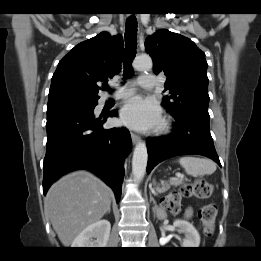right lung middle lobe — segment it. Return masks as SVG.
<instances>
[{
	"label": "right lung middle lobe",
	"instance_id": "dd1d6c3e",
	"mask_svg": "<svg viewBox=\"0 0 261 261\" xmlns=\"http://www.w3.org/2000/svg\"><path fill=\"white\" fill-rule=\"evenodd\" d=\"M97 105L95 100H86L73 97H59L48 100L47 115L63 110H92Z\"/></svg>",
	"mask_w": 261,
	"mask_h": 261
}]
</instances>
